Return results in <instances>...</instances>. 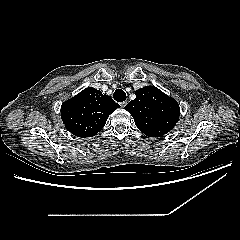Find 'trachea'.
Wrapping results in <instances>:
<instances>
[{
	"mask_svg": "<svg viewBox=\"0 0 240 240\" xmlns=\"http://www.w3.org/2000/svg\"><path fill=\"white\" fill-rule=\"evenodd\" d=\"M113 96L117 102H123L126 100V93L122 89H117Z\"/></svg>",
	"mask_w": 240,
	"mask_h": 240,
	"instance_id": "obj_1",
	"label": "trachea"
}]
</instances>
